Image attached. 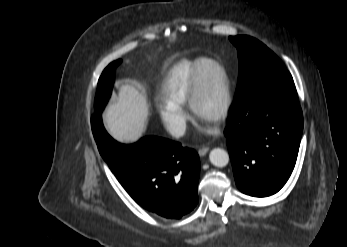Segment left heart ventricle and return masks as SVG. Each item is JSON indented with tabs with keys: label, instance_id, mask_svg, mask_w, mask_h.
Wrapping results in <instances>:
<instances>
[{
	"label": "left heart ventricle",
	"instance_id": "left-heart-ventricle-1",
	"mask_svg": "<svg viewBox=\"0 0 347 247\" xmlns=\"http://www.w3.org/2000/svg\"><path fill=\"white\" fill-rule=\"evenodd\" d=\"M222 87L218 72L206 64L202 68V91L199 113L203 120L211 121L222 103Z\"/></svg>",
	"mask_w": 347,
	"mask_h": 247
}]
</instances>
